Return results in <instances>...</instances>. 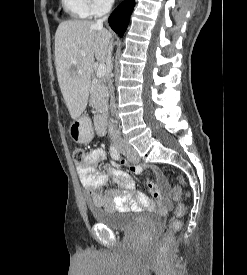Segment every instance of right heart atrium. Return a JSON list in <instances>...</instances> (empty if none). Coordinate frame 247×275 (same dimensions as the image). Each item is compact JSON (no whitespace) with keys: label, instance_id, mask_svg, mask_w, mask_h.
<instances>
[{"label":"right heart atrium","instance_id":"right-heart-atrium-1","mask_svg":"<svg viewBox=\"0 0 247 275\" xmlns=\"http://www.w3.org/2000/svg\"><path fill=\"white\" fill-rule=\"evenodd\" d=\"M93 15L107 12L114 5V0H89Z\"/></svg>","mask_w":247,"mask_h":275}]
</instances>
